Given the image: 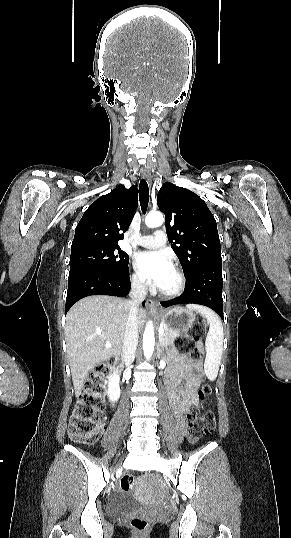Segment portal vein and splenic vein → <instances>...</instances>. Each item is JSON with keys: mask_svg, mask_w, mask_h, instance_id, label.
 I'll return each instance as SVG.
<instances>
[{"mask_svg": "<svg viewBox=\"0 0 291 538\" xmlns=\"http://www.w3.org/2000/svg\"><path fill=\"white\" fill-rule=\"evenodd\" d=\"M164 332V329H163V326H160L159 330H158V333L159 334H162Z\"/></svg>", "mask_w": 291, "mask_h": 538, "instance_id": "18ae733b", "label": "portal vein and splenic vein"}]
</instances>
